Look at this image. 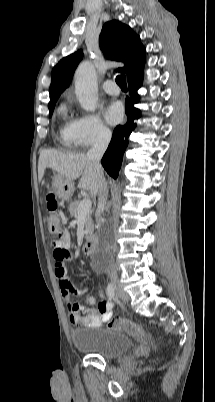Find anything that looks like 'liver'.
I'll use <instances>...</instances> for the list:
<instances>
[{
    "instance_id": "liver-1",
    "label": "liver",
    "mask_w": 215,
    "mask_h": 402,
    "mask_svg": "<svg viewBox=\"0 0 215 402\" xmlns=\"http://www.w3.org/2000/svg\"><path fill=\"white\" fill-rule=\"evenodd\" d=\"M46 168H51L68 180L78 178V187L89 190L91 195L96 196L99 187V176L87 158L80 153H65L56 150H42L38 162V180L42 181Z\"/></svg>"
}]
</instances>
